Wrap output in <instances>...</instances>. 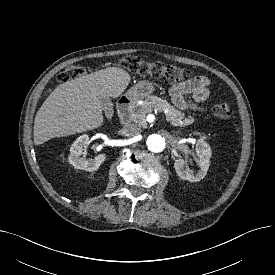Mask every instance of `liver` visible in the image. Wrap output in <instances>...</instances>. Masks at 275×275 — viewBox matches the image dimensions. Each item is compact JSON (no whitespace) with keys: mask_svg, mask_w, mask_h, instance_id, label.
Segmentation results:
<instances>
[{"mask_svg":"<svg viewBox=\"0 0 275 275\" xmlns=\"http://www.w3.org/2000/svg\"><path fill=\"white\" fill-rule=\"evenodd\" d=\"M130 80L129 73L123 69L108 67L60 84L37 111L35 145L101 127V99L119 97Z\"/></svg>","mask_w":275,"mask_h":275,"instance_id":"1","label":"liver"}]
</instances>
